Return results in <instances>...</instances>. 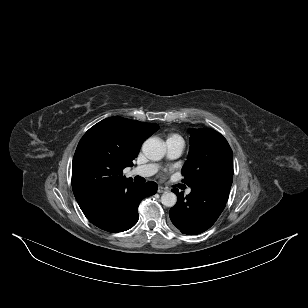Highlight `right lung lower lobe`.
I'll list each match as a JSON object with an SVG mask.
<instances>
[{
	"mask_svg": "<svg viewBox=\"0 0 308 308\" xmlns=\"http://www.w3.org/2000/svg\"><path fill=\"white\" fill-rule=\"evenodd\" d=\"M157 184H133L112 202L83 212L87 219L102 230L122 232L133 227L138 221V206L143 198L154 195Z\"/></svg>",
	"mask_w": 308,
	"mask_h": 308,
	"instance_id": "right-lung-lower-lobe-1",
	"label": "right lung lower lobe"
}]
</instances>
